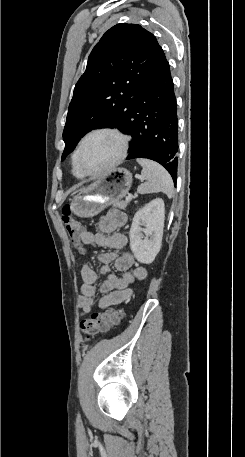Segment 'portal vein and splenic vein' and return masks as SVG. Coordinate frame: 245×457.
<instances>
[{
  "label": "portal vein and splenic vein",
  "mask_w": 245,
  "mask_h": 457,
  "mask_svg": "<svg viewBox=\"0 0 245 457\" xmlns=\"http://www.w3.org/2000/svg\"><path fill=\"white\" fill-rule=\"evenodd\" d=\"M136 176H138V178H141V176H139V174H136ZM133 198V194H128V196H126L125 200H127V202H129V200H132Z\"/></svg>",
  "instance_id": "portal-vein-and-splenic-vein-1"
}]
</instances>
